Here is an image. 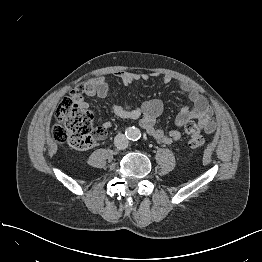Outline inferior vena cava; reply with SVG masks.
<instances>
[{"label": "inferior vena cava", "mask_w": 262, "mask_h": 262, "mask_svg": "<svg viewBox=\"0 0 262 262\" xmlns=\"http://www.w3.org/2000/svg\"><path fill=\"white\" fill-rule=\"evenodd\" d=\"M128 143H129V141H128L127 137L122 133H118L114 138V144L118 149L127 148Z\"/></svg>", "instance_id": "1"}]
</instances>
